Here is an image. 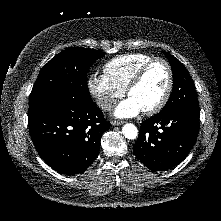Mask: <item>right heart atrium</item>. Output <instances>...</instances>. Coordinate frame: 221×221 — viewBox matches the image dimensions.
Returning <instances> with one entry per match:
<instances>
[{
    "label": "right heart atrium",
    "instance_id": "right-heart-atrium-1",
    "mask_svg": "<svg viewBox=\"0 0 221 221\" xmlns=\"http://www.w3.org/2000/svg\"><path fill=\"white\" fill-rule=\"evenodd\" d=\"M88 90L97 105L110 110L116 100L123 97L125 91L111 82L105 75L92 74L88 79Z\"/></svg>",
    "mask_w": 221,
    "mask_h": 221
}]
</instances>
